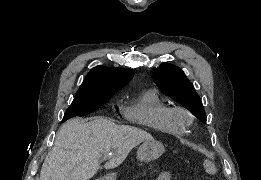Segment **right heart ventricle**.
I'll list each match as a JSON object with an SVG mask.
<instances>
[{
	"instance_id": "obj_1",
	"label": "right heart ventricle",
	"mask_w": 261,
	"mask_h": 180,
	"mask_svg": "<svg viewBox=\"0 0 261 180\" xmlns=\"http://www.w3.org/2000/svg\"><path fill=\"white\" fill-rule=\"evenodd\" d=\"M170 107L156 90H145L136 98L122 103L120 121H137V126L128 127H143V131L162 133V138L138 139L180 142L186 136V129L167 120L166 112Z\"/></svg>"
}]
</instances>
